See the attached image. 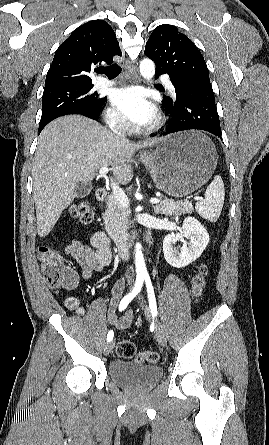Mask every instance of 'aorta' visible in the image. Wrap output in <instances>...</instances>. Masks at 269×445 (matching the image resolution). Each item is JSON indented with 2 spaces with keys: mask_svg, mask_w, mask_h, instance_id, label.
<instances>
[{
  "mask_svg": "<svg viewBox=\"0 0 269 445\" xmlns=\"http://www.w3.org/2000/svg\"><path fill=\"white\" fill-rule=\"evenodd\" d=\"M140 73L142 77L146 80H151L155 74V64L150 59H143L140 62ZM135 266L138 276H146L147 269L145 265V260L142 252V245L136 243L135 246Z\"/></svg>",
  "mask_w": 269,
  "mask_h": 445,
  "instance_id": "1",
  "label": "aorta"
}]
</instances>
